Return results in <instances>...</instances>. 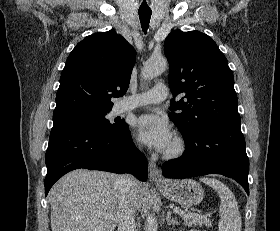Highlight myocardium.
Returning a JSON list of instances; mask_svg holds the SVG:
<instances>
[{
	"mask_svg": "<svg viewBox=\"0 0 280 231\" xmlns=\"http://www.w3.org/2000/svg\"><path fill=\"white\" fill-rule=\"evenodd\" d=\"M187 148V143L183 137H176L171 147L165 153V158L172 160L177 159L184 154Z\"/></svg>",
	"mask_w": 280,
	"mask_h": 231,
	"instance_id": "f54148a6",
	"label": "myocardium"
}]
</instances>
